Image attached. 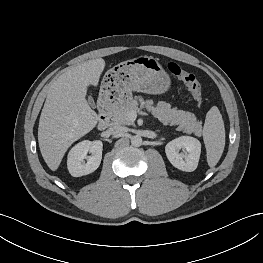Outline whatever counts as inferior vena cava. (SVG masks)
Here are the masks:
<instances>
[{
  "label": "inferior vena cava",
  "instance_id": "inferior-vena-cava-1",
  "mask_svg": "<svg viewBox=\"0 0 263 263\" xmlns=\"http://www.w3.org/2000/svg\"><path fill=\"white\" fill-rule=\"evenodd\" d=\"M127 131V128L124 126L115 125L110 128H108L107 132L111 135H118L122 134Z\"/></svg>",
  "mask_w": 263,
  "mask_h": 263
}]
</instances>
